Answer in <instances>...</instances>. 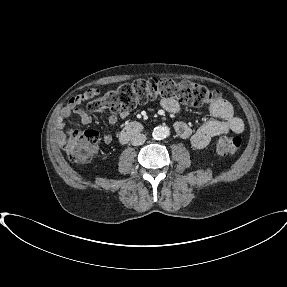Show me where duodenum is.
<instances>
[{"label": "duodenum", "mask_w": 287, "mask_h": 287, "mask_svg": "<svg viewBox=\"0 0 287 287\" xmlns=\"http://www.w3.org/2000/svg\"><path fill=\"white\" fill-rule=\"evenodd\" d=\"M142 130L141 123L132 121L128 123L121 131L119 140L121 143L127 142L132 136L138 134Z\"/></svg>", "instance_id": "duodenum-1"}]
</instances>
